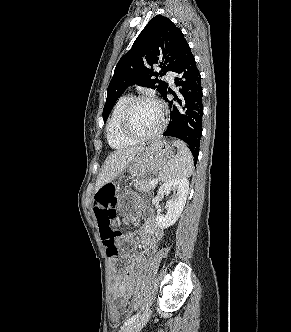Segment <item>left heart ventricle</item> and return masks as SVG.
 <instances>
[{"label": "left heart ventricle", "mask_w": 291, "mask_h": 332, "mask_svg": "<svg viewBox=\"0 0 291 332\" xmlns=\"http://www.w3.org/2000/svg\"><path fill=\"white\" fill-rule=\"evenodd\" d=\"M161 123L160 110L152 102H141L133 110L130 127L138 135H149L155 132Z\"/></svg>", "instance_id": "obj_1"}]
</instances>
